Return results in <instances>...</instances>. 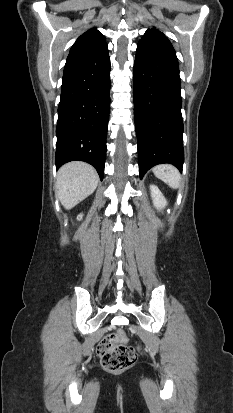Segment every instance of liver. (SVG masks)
Segmentation results:
<instances>
[{
    "mask_svg": "<svg viewBox=\"0 0 233 413\" xmlns=\"http://www.w3.org/2000/svg\"><path fill=\"white\" fill-rule=\"evenodd\" d=\"M98 181V174L91 165L69 162L58 171L56 195L65 209H71L95 191Z\"/></svg>",
    "mask_w": 233,
    "mask_h": 413,
    "instance_id": "1",
    "label": "liver"
}]
</instances>
